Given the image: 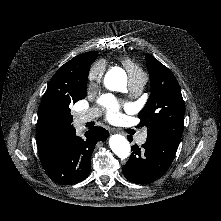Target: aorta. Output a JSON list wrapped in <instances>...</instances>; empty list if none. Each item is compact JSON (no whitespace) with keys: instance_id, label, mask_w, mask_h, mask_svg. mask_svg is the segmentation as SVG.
<instances>
[{"instance_id":"obj_1","label":"aorta","mask_w":221,"mask_h":221,"mask_svg":"<svg viewBox=\"0 0 221 221\" xmlns=\"http://www.w3.org/2000/svg\"><path fill=\"white\" fill-rule=\"evenodd\" d=\"M126 73L123 70L111 69L104 78V84L111 91H118L126 85ZM111 150L121 159L130 155L131 146L128 140L121 135H112L109 139Z\"/></svg>"}]
</instances>
